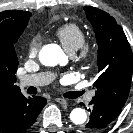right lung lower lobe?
<instances>
[{
  "instance_id": "98d812e1",
  "label": "right lung lower lobe",
  "mask_w": 133,
  "mask_h": 133,
  "mask_svg": "<svg viewBox=\"0 0 133 133\" xmlns=\"http://www.w3.org/2000/svg\"><path fill=\"white\" fill-rule=\"evenodd\" d=\"M46 99L39 96L26 98L21 91L9 97L0 107V132L19 133L36 120Z\"/></svg>"
}]
</instances>
